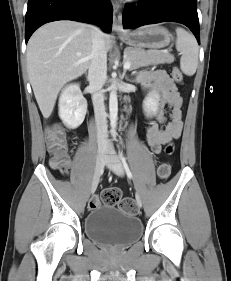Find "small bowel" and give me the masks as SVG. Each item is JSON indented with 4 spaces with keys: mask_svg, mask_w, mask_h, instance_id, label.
Here are the masks:
<instances>
[{
    "mask_svg": "<svg viewBox=\"0 0 231 281\" xmlns=\"http://www.w3.org/2000/svg\"><path fill=\"white\" fill-rule=\"evenodd\" d=\"M136 80L149 93L152 100L159 106L166 104L169 118L159 116V122H148L146 141L152 153L160 154L162 145L180 137L183 129V99L170 76L162 70H145L140 72Z\"/></svg>",
    "mask_w": 231,
    "mask_h": 281,
    "instance_id": "obj_1",
    "label": "small bowel"
}]
</instances>
